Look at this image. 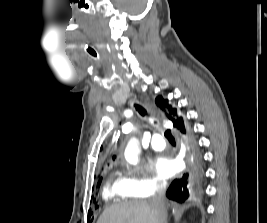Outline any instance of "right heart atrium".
Returning <instances> with one entry per match:
<instances>
[{"instance_id": "1", "label": "right heart atrium", "mask_w": 267, "mask_h": 223, "mask_svg": "<svg viewBox=\"0 0 267 223\" xmlns=\"http://www.w3.org/2000/svg\"><path fill=\"white\" fill-rule=\"evenodd\" d=\"M122 182L130 195L138 197H151L165 187V182L160 177L149 175L142 168L129 170Z\"/></svg>"}]
</instances>
